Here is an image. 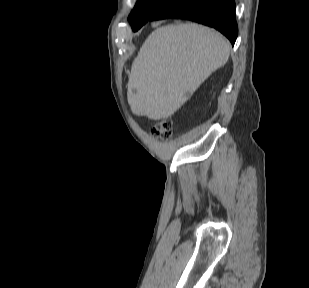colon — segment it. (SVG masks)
<instances>
[{
  "instance_id": "1",
  "label": "colon",
  "mask_w": 309,
  "mask_h": 288,
  "mask_svg": "<svg viewBox=\"0 0 309 288\" xmlns=\"http://www.w3.org/2000/svg\"><path fill=\"white\" fill-rule=\"evenodd\" d=\"M151 133L161 140H168L172 136V123L169 119H162L156 122L152 128Z\"/></svg>"
}]
</instances>
